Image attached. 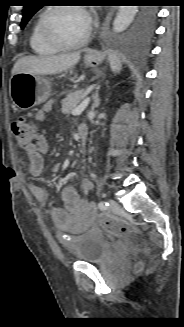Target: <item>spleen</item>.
Here are the masks:
<instances>
[{
  "label": "spleen",
  "mask_w": 184,
  "mask_h": 327,
  "mask_svg": "<svg viewBox=\"0 0 184 327\" xmlns=\"http://www.w3.org/2000/svg\"><path fill=\"white\" fill-rule=\"evenodd\" d=\"M109 62L113 71L118 72L121 69L120 61L115 55H109Z\"/></svg>",
  "instance_id": "1"
}]
</instances>
